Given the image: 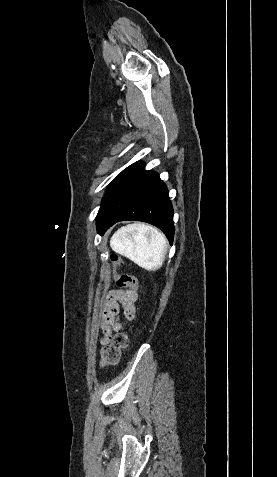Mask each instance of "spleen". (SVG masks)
Instances as JSON below:
<instances>
[{
  "mask_svg": "<svg viewBox=\"0 0 277 477\" xmlns=\"http://www.w3.org/2000/svg\"><path fill=\"white\" fill-rule=\"evenodd\" d=\"M112 250L133 261L147 271L161 268L167 241L156 228L142 224H128L118 229L110 240Z\"/></svg>",
  "mask_w": 277,
  "mask_h": 477,
  "instance_id": "1",
  "label": "spleen"
}]
</instances>
